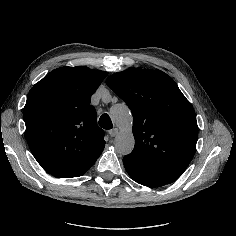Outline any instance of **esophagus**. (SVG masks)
<instances>
[{"label": "esophagus", "instance_id": "1", "mask_svg": "<svg viewBox=\"0 0 236 236\" xmlns=\"http://www.w3.org/2000/svg\"><path fill=\"white\" fill-rule=\"evenodd\" d=\"M119 130L117 128H114L109 131V134L111 137H115L118 134Z\"/></svg>", "mask_w": 236, "mask_h": 236}]
</instances>
